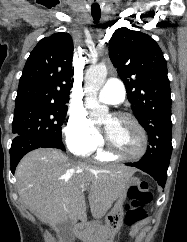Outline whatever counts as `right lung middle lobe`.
<instances>
[{
	"label": "right lung middle lobe",
	"mask_w": 187,
	"mask_h": 242,
	"mask_svg": "<svg viewBox=\"0 0 187 242\" xmlns=\"http://www.w3.org/2000/svg\"><path fill=\"white\" fill-rule=\"evenodd\" d=\"M62 105H24L15 107L12 132L61 140V126L67 113Z\"/></svg>",
	"instance_id": "dd1d6c3e"
}]
</instances>
